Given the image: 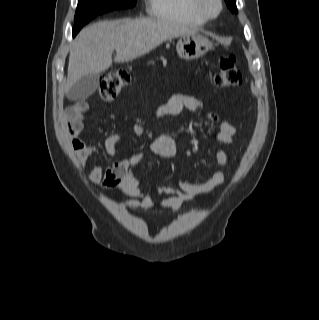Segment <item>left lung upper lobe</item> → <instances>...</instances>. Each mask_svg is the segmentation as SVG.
Wrapping results in <instances>:
<instances>
[{
  "label": "left lung upper lobe",
  "mask_w": 319,
  "mask_h": 320,
  "mask_svg": "<svg viewBox=\"0 0 319 320\" xmlns=\"http://www.w3.org/2000/svg\"><path fill=\"white\" fill-rule=\"evenodd\" d=\"M225 2L232 13L238 12L235 0H225Z\"/></svg>",
  "instance_id": "1"
}]
</instances>
